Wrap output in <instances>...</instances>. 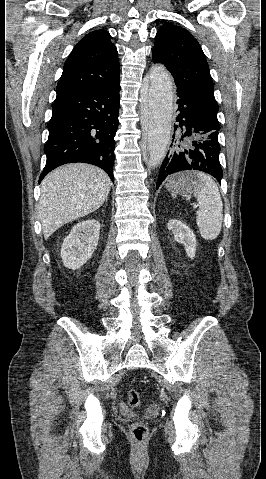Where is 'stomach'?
Listing matches in <instances>:
<instances>
[{"mask_svg": "<svg viewBox=\"0 0 266 479\" xmlns=\"http://www.w3.org/2000/svg\"><path fill=\"white\" fill-rule=\"evenodd\" d=\"M201 187L197 173L188 171L173 175L167 181L166 188L174 195H190Z\"/></svg>", "mask_w": 266, "mask_h": 479, "instance_id": "1", "label": "stomach"}]
</instances>
